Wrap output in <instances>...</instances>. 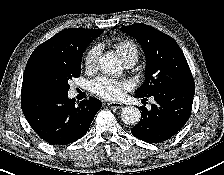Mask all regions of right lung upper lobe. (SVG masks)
Masks as SVG:
<instances>
[{
    "mask_svg": "<svg viewBox=\"0 0 224 175\" xmlns=\"http://www.w3.org/2000/svg\"><path fill=\"white\" fill-rule=\"evenodd\" d=\"M102 32L103 30L100 29H66L39 45L30 56L26 65L22 82V91L28 90L27 76L30 69L37 63L44 60L63 59L81 51L84 52L88 44Z\"/></svg>",
    "mask_w": 224,
    "mask_h": 175,
    "instance_id": "obj_1",
    "label": "right lung upper lobe"
}]
</instances>
